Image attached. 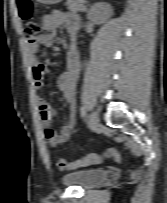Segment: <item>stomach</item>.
I'll list each match as a JSON object with an SVG mask.
<instances>
[{
	"label": "stomach",
	"instance_id": "stomach-1",
	"mask_svg": "<svg viewBox=\"0 0 167 203\" xmlns=\"http://www.w3.org/2000/svg\"><path fill=\"white\" fill-rule=\"evenodd\" d=\"M37 1L40 2V3H43V4L52 5V4L59 3L62 0H37Z\"/></svg>",
	"mask_w": 167,
	"mask_h": 203
}]
</instances>
